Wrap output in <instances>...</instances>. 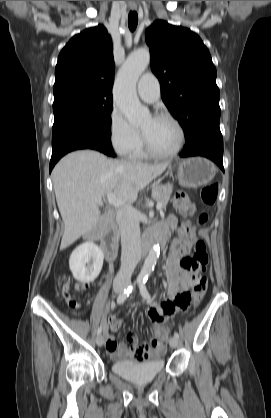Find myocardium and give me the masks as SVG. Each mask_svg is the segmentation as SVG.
<instances>
[{
  "label": "myocardium",
  "mask_w": 271,
  "mask_h": 418,
  "mask_svg": "<svg viewBox=\"0 0 271 418\" xmlns=\"http://www.w3.org/2000/svg\"><path fill=\"white\" fill-rule=\"evenodd\" d=\"M152 117L156 118V119L162 118V119H167V120L171 121L178 130L179 142H178L177 147L173 151L168 152V153H160V152L155 151L152 148L145 132L141 130L142 142H143V145H144L145 152L149 156L154 157V158H159V159H168V158H172V157L176 156L181 151V149L183 148L184 143H185V131H184L183 126L173 115H171L170 113H167V112H157Z\"/></svg>",
  "instance_id": "f54148a6"
}]
</instances>
